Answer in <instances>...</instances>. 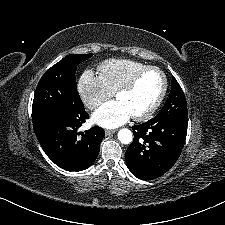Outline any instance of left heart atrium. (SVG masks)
I'll return each mask as SVG.
<instances>
[{
	"label": "left heart atrium",
	"mask_w": 225,
	"mask_h": 225,
	"mask_svg": "<svg viewBox=\"0 0 225 225\" xmlns=\"http://www.w3.org/2000/svg\"><path fill=\"white\" fill-rule=\"evenodd\" d=\"M131 117L129 110L119 100L105 103L93 114L94 122L105 128L118 127Z\"/></svg>",
	"instance_id": "obj_1"
}]
</instances>
